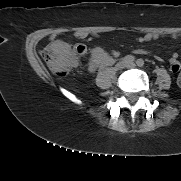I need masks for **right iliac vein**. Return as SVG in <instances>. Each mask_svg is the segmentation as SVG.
Instances as JSON below:
<instances>
[{"instance_id": "obj_1", "label": "right iliac vein", "mask_w": 181, "mask_h": 181, "mask_svg": "<svg viewBox=\"0 0 181 181\" xmlns=\"http://www.w3.org/2000/svg\"><path fill=\"white\" fill-rule=\"evenodd\" d=\"M126 66H127V64H126L124 61H121V62H119V63L116 64L115 68H116L117 70H122V69H124Z\"/></svg>"}]
</instances>
